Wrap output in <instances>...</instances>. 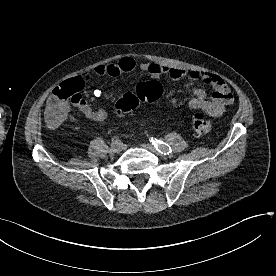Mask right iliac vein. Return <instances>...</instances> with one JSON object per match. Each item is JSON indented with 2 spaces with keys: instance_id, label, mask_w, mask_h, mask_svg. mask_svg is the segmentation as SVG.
Masks as SVG:
<instances>
[{
  "instance_id": "right-iliac-vein-1",
  "label": "right iliac vein",
  "mask_w": 276,
  "mask_h": 276,
  "mask_svg": "<svg viewBox=\"0 0 276 276\" xmlns=\"http://www.w3.org/2000/svg\"><path fill=\"white\" fill-rule=\"evenodd\" d=\"M122 149H123L122 146H111V148L109 149V153L115 154V153L122 151Z\"/></svg>"
}]
</instances>
